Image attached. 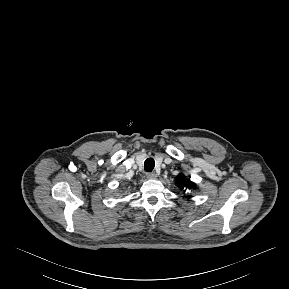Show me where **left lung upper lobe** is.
I'll return each mask as SVG.
<instances>
[{
	"label": "left lung upper lobe",
	"mask_w": 289,
	"mask_h": 289,
	"mask_svg": "<svg viewBox=\"0 0 289 289\" xmlns=\"http://www.w3.org/2000/svg\"><path fill=\"white\" fill-rule=\"evenodd\" d=\"M175 183H176V186H178L179 188L185 189V190L196 187V185L193 182L187 180L183 174H180L176 178Z\"/></svg>",
	"instance_id": "obj_1"
}]
</instances>
